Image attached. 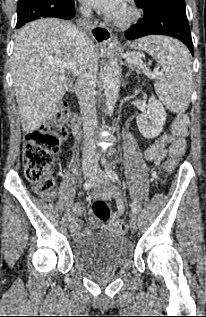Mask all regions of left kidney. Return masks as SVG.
Masks as SVG:
<instances>
[{"label": "left kidney", "instance_id": "obj_1", "mask_svg": "<svg viewBox=\"0 0 206 317\" xmlns=\"http://www.w3.org/2000/svg\"><path fill=\"white\" fill-rule=\"evenodd\" d=\"M140 89L134 91L135 95ZM166 122V111L163 105L154 97H150L147 112L137 116V125L145 138L152 139L157 137L163 130Z\"/></svg>", "mask_w": 206, "mask_h": 317}]
</instances>
